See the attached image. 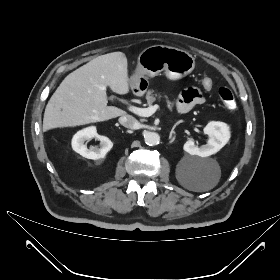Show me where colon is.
Masks as SVG:
<instances>
[{
    "label": "colon",
    "instance_id": "5ec220e1",
    "mask_svg": "<svg viewBox=\"0 0 280 280\" xmlns=\"http://www.w3.org/2000/svg\"><path fill=\"white\" fill-rule=\"evenodd\" d=\"M202 88L206 92H211L215 88V83L211 79H206L202 83ZM219 97L223 102L224 106L229 110L236 108V100L232 91L226 87H221L218 91Z\"/></svg>",
    "mask_w": 280,
    "mask_h": 280
}]
</instances>
